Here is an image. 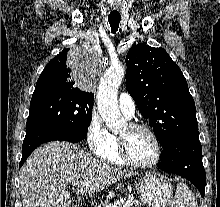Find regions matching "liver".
I'll return each mask as SVG.
<instances>
[{
  "mask_svg": "<svg viewBox=\"0 0 220 207\" xmlns=\"http://www.w3.org/2000/svg\"><path fill=\"white\" fill-rule=\"evenodd\" d=\"M136 172L110 166L68 142H49L27 159L20 174L23 207H71L68 184L78 180L76 194L94 196Z\"/></svg>",
  "mask_w": 220,
  "mask_h": 207,
  "instance_id": "liver-1",
  "label": "liver"
}]
</instances>
